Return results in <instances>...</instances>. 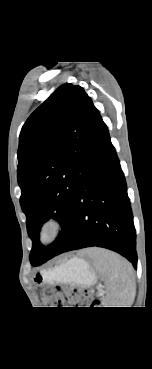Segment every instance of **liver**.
Returning <instances> with one entry per match:
<instances>
[{
    "label": "liver",
    "instance_id": "6515ba94",
    "mask_svg": "<svg viewBox=\"0 0 152 369\" xmlns=\"http://www.w3.org/2000/svg\"><path fill=\"white\" fill-rule=\"evenodd\" d=\"M93 249L87 250V254L91 256Z\"/></svg>",
    "mask_w": 152,
    "mask_h": 369
}]
</instances>
